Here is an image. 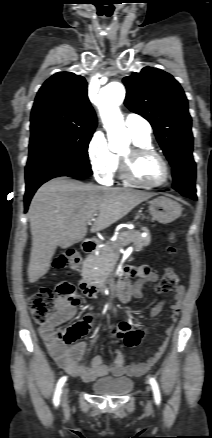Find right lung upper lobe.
Instances as JSON below:
<instances>
[{"label": "right lung upper lobe", "mask_w": 212, "mask_h": 438, "mask_svg": "<svg viewBox=\"0 0 212 438\" xmlns=\"http://www.w3.org/2000/svg\"><path fill=\"white\" fill-rule=\"evenodd\" d=\"M95 112L87 97V82L71 72L51 76L39 89L31 112V131L64 128L94 131Z\"/></svg>", "instance_id": "cb5924a9"}]
</instances>
